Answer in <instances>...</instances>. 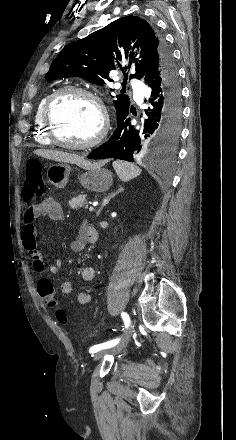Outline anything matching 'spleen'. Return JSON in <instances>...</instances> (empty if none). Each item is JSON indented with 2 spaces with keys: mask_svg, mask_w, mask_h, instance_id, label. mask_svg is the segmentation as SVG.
Returning <instances> with one entry per match:
<instances>
[{
  "mask_svg": "<svg viewBox=\"0 0 236 440\" xmlns=\"http://www.w3.org/2000/svg\"><path fill=\"white\" fill-rule=\"evenodd\" d=\"M113 168L120 180L124 182L139 176L142 172L137 165L121 160H115L113 162Z\"/></svg>",
  "mask_w": 236,
  "mask_h": 440,
  "instance_id": "obj_1",
  "label": "spleen"
}]
</instances>
